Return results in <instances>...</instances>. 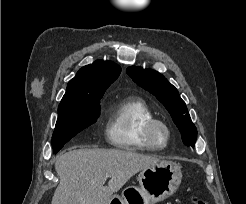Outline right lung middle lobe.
Wrapping results in <instances>:
<instances>
[{"label":"right lung middle lobe","instance_id":"right-lung-middle-lobe-1","mask_svg":"<svg viewBox=\"0 0 246 204\" xmlns=\"http://www.w3.org/2000/svg\"><path fill=\"white\" fill-rule=\"evenodd\" d=\"M100 98L89 97L86 100L59 104L58 119L52 136L54 153L83 129L95 123L100 115Z\"/></svg>","mask_w":246,"mask_h":204}]
</instances>
